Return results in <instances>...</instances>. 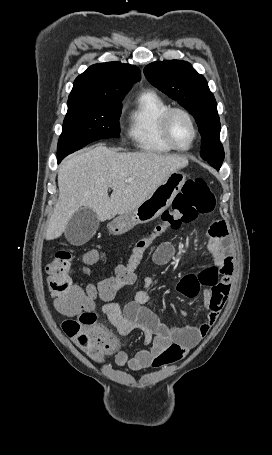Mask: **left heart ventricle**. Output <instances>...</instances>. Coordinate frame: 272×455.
Returning a JSON list of instances; mask_svg holds the SVG:
<instances>
[{"label": "left heart ventricle", "mask_w": 272, "mask_h": 455, "mask_svg": "<svg viewBox=\"0 0 272 455\" xmlns=\"http://www.w3.org/2000/svg\"><path fill=\"white\" fill-rule=\"evenodd\" d=\"M170 132L173 141L179 147H187L193 138V130L189 121L179 113L174 114L171 118Z\"/></svg>", "instance_id": "obj_1"}]
</instances>
